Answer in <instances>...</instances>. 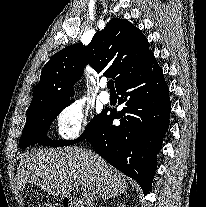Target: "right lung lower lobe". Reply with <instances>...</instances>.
<instances>
[{"mask_svg":"<svg viewBox=\"0 0 206 207\" xmlns=\"http://www.w3.org/2000/svg\"><path fill=\"white\" fill-rule=\"evenodd\" d=\"M117 92L121 95L119 104L125 107L118 113L106 112L85 139L97 154L136 180L148 194L171 112L169 89L154 55L122 82ZM114 119L120 120L119 126L112 124Z\"/></svg>","mask_w":206,"mask_h":207,"instance_id":"right-lung-lower-lobe-1","label":"right lung lower lobe"}]
</instances>
